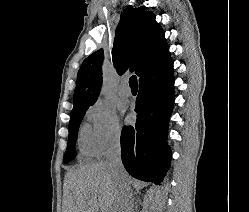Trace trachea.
Wrapping results in <instances>:
<instances>
[{
  "instance_id": "3493384b",
  "label": "trachea",
  "mask_w": 249,
  "mask_h": 212,
  "mask_svg": "<svg viewBox=\"0 0 249 212\" xmlns=\"http://www.w3.org/2000/svg\"><path fill=\"white\" fill-rule=\"evenodd\" d=\"M129 85H130L131 88H137L138 82H137L136 75H132V77H130Z\"/></svg>"
}]
</instances>
